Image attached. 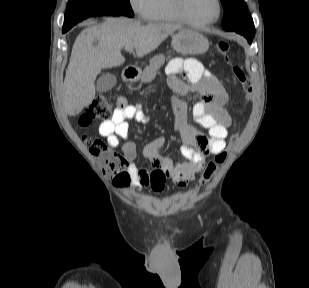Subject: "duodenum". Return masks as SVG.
Segmentation results:
<instances>
[{"label": "duodenum", "mask_w": 309, "mask_h": 288, "mask_svg": "<svg viewBox=\"0 0 309 288\" xmlns=\"http://www.w3.org/2000/svg\"><path fill=\"white\" fill-rule=\"evenodd\" d=\"M137 71L134 67L129 66L123 70V78L126 82H132L136 79Z\"/></svg>", "instance_id": "1"}]
</instances>
